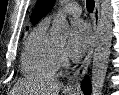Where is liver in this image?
Masks as SVG:
<instances>
[{"mask_svg":"<svg viewBox=\"0 0 119 95\" xmlns=\"http://www.w3.org/2000/svg\"><path fill=\"white\" fill-rule=\"evenodd\" d=\"M62 86L63 84L56 79H41L31 86L26 81L17 85L19 89L31 95H59Z\"/></svg>","mask_w":119,"mask_h":95,"instance_id":"1","label":"liver"}]
</instances>
